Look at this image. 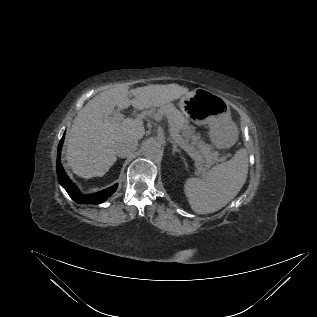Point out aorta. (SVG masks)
I'll return each mask as SVG.
<instances>
[{"label": "aorta", "mask_w": 317, "mask_h": 317, "mask_svg": "<svg viewBox=\"0 0 317 317\" xmlns=\"http://www.w3.org/2000/svg\"><path fill=\"white\" fill-rule=\"evenodd\" d=\"M143 153L148 159H157L162 156V149L156 140H148L143 146Z\"/></svg>", "instance_id": "aorta-1"}]
</instances>
